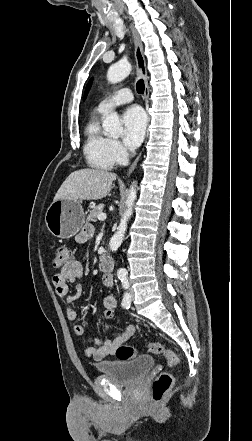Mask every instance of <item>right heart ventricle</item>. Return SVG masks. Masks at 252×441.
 Instances as JSON below:
<instances>
[{"label":"right heart ventricle","mask_w":252,"mask_h":441,"mask_svg":"<svg viewBox=\"0 0 252 441\" xmlns=\"http://www.w3.org/2000/svg\"><path fill=\"white\" fill-rule=\"evenodd\" d=\"M98 114L90 117L85 126L83 152L90 167L110 170L116 162L110 150L111 139L102 131Z\"/></svg>","instance_id":"1"}]
</instances>
